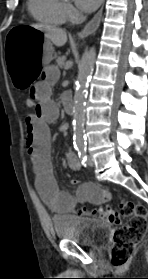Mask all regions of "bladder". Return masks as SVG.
I'll use <instances>...</instances> for the list:
<instances>
[{
	"label": "bladder",
	"instance_id": "bladder-1",
	"mask_svg": "<svg viewBox=\"0 0 148 279\" xmlns=\"http://www.w3.org/2000/svg\"><path fill=\"white\" fill-rule=\"evenodd\" d=\"M52 224L58 239L87 247H96L103 243L110 231L107 224L97 219L73 215L54 216Z\"/></svg>",
	"mask_w": 148,
	"mask_h": 279
}]
</instances>
